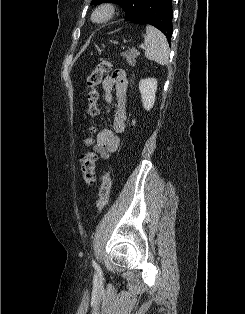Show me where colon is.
<instances>
[{
    "mask_svg": "<svg viewBox=\"0 0 245 314\" xmlns=\"http://www.w3.org/2000/svg\"><path fill=\"white\" fill-rule=\"evenodd\" d=\"M112 64L108 60H102L98 63L96 68L87 78V86L89 88L87 99H88V114L91 118H94L98 114V90L97 87L101 83L104 74L110 72ZM95 128L90 125L87 129L89 136L85 138L84 145L87 147V151L81 156L82 163V178L87 186H92L96 181V155L89 150V147L93 144V134ZM111 190V172L107 171L103 174L101 180V186L99 191V198L97 201V209L101 212L106 206Z\"/></svg>",
    "mask_w": 245,
    "mask_h": 314,
    "instance_id": "1",
    "label": "colon"
}]
</instances>
